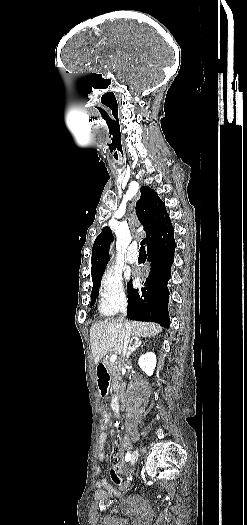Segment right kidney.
Returning a JSON list of instances; mask_svg holds the SVG:
<instances>
[{
  "mask_svg": "<svg viewBox=\"0 0 247 525\" xmlns=\"http://www.w3.org/2000/svg\"><path fill=\"white\" fill-rule=\"evenodd\" d=\"M157 359L155 353H145V355H141L138 365L148 377H151L153 375V371L156 367Z\"/></svg>",
  "mask_w": 247,
  "mask_h": 525,
  "instance_id": "ca27d5eb",
  "label": "right kidney"
}]
</instances>
